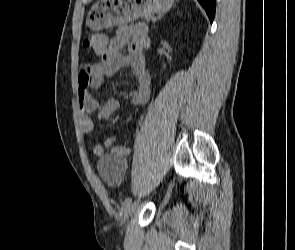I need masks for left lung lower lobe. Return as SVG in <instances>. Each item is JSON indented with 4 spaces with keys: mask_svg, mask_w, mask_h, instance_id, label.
I'll use <instances>...</instances> for the list:
<instances>
[{
    "mask_svg": "<svg viewBox=\"0 0 295 250\" xmlns=\"http://www.w3.org/2000/svg\"><path fill=\"white\" fill-rule=\"evenodd\" d=\"M198 2L205 9L211 23L215 15V2L216 0H198Z\"/></svg>",
    "mask_w": 295,
    "mask_h": 250,
    "instance_id": "1",
    "label": "left lung lower lobe"
}]
</instances>
